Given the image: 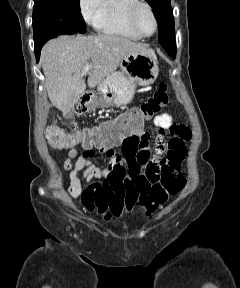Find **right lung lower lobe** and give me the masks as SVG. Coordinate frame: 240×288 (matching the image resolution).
<instances>
[{
	"label": "right lung lower lobe",
	"mask_w": 240,
	"mask_h": 288,
	"mask_svg": "<svg viewBox=\"0 0 240 288\" xmlns=\"http://www.w3.org/2000/svg\"><path fill=\"white\" fill-rule=\"evenodd\" d=\"M61 35H63V34H61ZM70 35H72V34H70ZM57 36H59V35H57ZM57 36H56V37H57ZM48 40H49V39H48ZM48 40H47V41H48ZM45 43H46V41L43 42V43H41V44L36 45L35 48H34L37 62H38V60H39V58H40L41 49H42V47H43V45H44Z\"/></svg>",
	"instance_id": "1"
}]
</instances>
